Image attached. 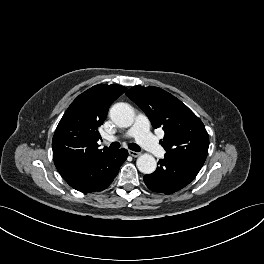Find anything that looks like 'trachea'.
I'll list each match as a JSON object with an SVG mask.
<instances>
[{"label":"trachea","mask_w":264,"mask_h":264,"mask_svg":"<svg viewBox=\"0 0 264 264\" xmlns=\"http://www.w3.org/2000/svg\"><path fill=\"white\" fill-rule=\"evenodd\" d=\"M119 147H120L119 142H113L110 144V148L118 149ZM128 148L135 152H139L141 150L140 147L135 143L128 144Z\"/></svg>","instance_id":"3493384b"}]
</instances>
